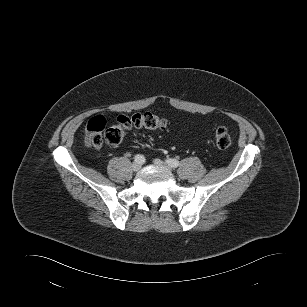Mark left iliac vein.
Returning <instances> with one entry per match:
<instances>
[{
  "instance_id": "left-iliac-vein-1",
  "label": "left iliac vein",
  "mask_w": 307,
  "mask_h": 307,
  "mask_svg": "<svg viewBox=\"0 0 307 307\" xmlns=\"http://www.w3.org/2000/svg\"><path fill=\"white\" fill-rule=\"evenodd\" d=\"M154 164L157 165V166L163 167V168H165L167 170H171V167L168 164H166L163 161H161L160 159H155L154 160Z\"/></svg>"
}]
</instances>
